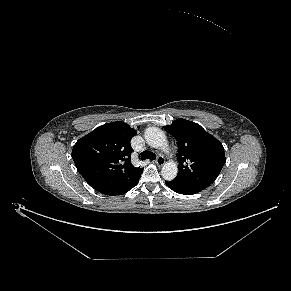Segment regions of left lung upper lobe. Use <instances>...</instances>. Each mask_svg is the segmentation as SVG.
I'll list each match as a JSON object with an SVG mask.
<instances>
[{"label":"left lung upper lobe","mask_w":291,"mask_h":291,"mask_svg":"<svg viewBox=\"0 0 291 291\" xmlns=\"http://www.w3.org/2000/svg\"><path fill=\"white\" fill-rule=\"evenodd\" d=\"M177 141L179 172L184 181H215L226 162L223 145L199 124L177 119L164 126Z\"/></svg>","instance_id":"1"}]
</instances>
